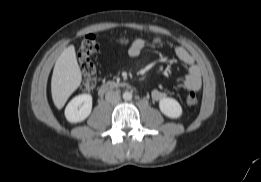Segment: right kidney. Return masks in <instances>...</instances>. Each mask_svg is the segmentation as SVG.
<instances>
[{
  "mask_svg": "<svg viewBox=\"0 0 261 182\" xmlns=\"http://www.w3.org/2000/svg\"><path fill=\"white\" fill-rule=\"evenodd\" d=\"M92 110V96L81 94L74 97L65 108V117L71 123L84 121Z\"/></svg>",
  "mask_w": 261,
  "mask_h": 182,
  "instance_id": "right-kidney-1",
  "label": "right kidney"
}]
</instances>
